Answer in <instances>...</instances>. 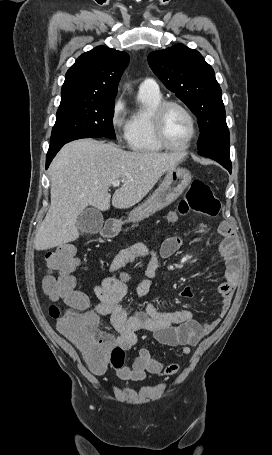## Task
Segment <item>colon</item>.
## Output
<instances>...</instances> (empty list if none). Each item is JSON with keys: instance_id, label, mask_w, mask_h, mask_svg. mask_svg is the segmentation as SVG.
Returning a JSON list of instances; mask_svg holds the SVG:
<instances>
[{"instance_id": "5ec220e1", "label": "colon", "mask_w": 272, "mask_h": 455, "mask_svg": "<svg viewBox=\"0 0 272 455\" xmlns=\"http://www.w3.org/2000/svg\"><path fill=\"white\" fill-rule=\"evenodd\" d=\"M220 210L219 201L208 184L200 179L192 181L185 198L179 204V212L190 211L215 217ZM175 219V215H171ZM77 249L64 244L46 256L47 275L43 290L56 303L49 307V314L57 320L59 330L82 351L91 368L96 372L123 366L124 352L109 336L98 335L96 317L88 311L89 299L75 288L72 276L78 267ZM124 278H129L123 273Z\"/></svg>"}]
</instances>
